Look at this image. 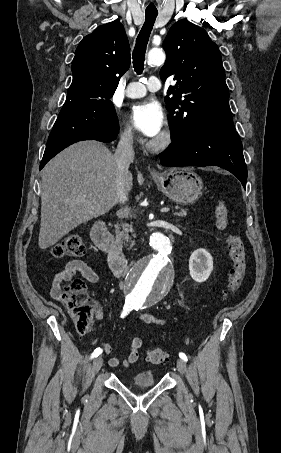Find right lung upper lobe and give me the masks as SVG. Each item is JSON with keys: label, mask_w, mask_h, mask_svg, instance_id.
<instances>
[{"label": "right lung upper lobe", "mask_w": 281, "mask_h": 453, "mask_svg": "<svg viewBox=\"0 0 281 453\" xmlns=\"http://www.w3.org/2000/svg\"><path fill=\"white\" fill-rule=\"evenodd\" d=\"M130 66L124 27L113 21L99 26L79 43L72 62L73 81L65 102H106Z\"/></svg>", "instance_id": "obj_1"}]
</instances>
